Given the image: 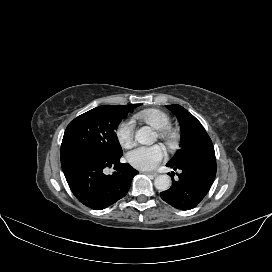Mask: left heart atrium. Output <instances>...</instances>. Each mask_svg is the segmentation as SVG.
Wrapping results in <instances>:
<instances>
[{
    "instance_id": "1",
    "label": "left heart atrium",
    "mask_w": 272,
    "mask_h": 272,
    "mask_svg": "<svg viewBox=\"0 0 272 272\" xmlns=\"http://www.w3.org/2000/svg\"><path fill=\"white\" fill-rule=\"evenodd\" d=\"M166 154L160 145L136 146L127 154L128 162L140 170H152L161 163Z\"/></svg>"
}]
</instances>
